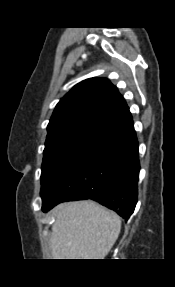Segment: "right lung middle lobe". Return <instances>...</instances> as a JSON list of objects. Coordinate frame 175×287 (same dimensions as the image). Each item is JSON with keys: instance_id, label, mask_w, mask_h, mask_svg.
<instances>
[{"instance_id": "1", "label": "right lung middle lobe", "mask_w": 175, "mask_h": 287, "mask_svg": "<svg viewBox=\"0 0 175 287\" xmlns=\"http://www.w3.org/2000/svg\"><path fill=\"white\" fill-rule=\"evenodd\" d=\"M114 128L108 124L86 123L48 132L43 153L41 196Z\"/></svg>"}]
</instances>
